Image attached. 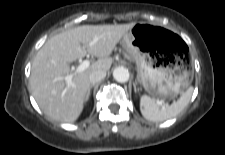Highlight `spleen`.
Masks as SVG:
<instances>
[{"label":"spleen","mask_w":225,"mask_h":155,"mask_svg":"<svg viewBox=\"0 0 225 155\" xmlns=\"http://www.w3.org/2000/svg\"><path fill=\"white\" fill-rule=\"evenodd\" d=\"M192 93L193 87H189L177 101L164 108H160L151 97L143 95L140 98V111L145 119L152 122H160L174 118L187 106Z\"/></svg>","instance_id":"obj_1"}]
</instances>
